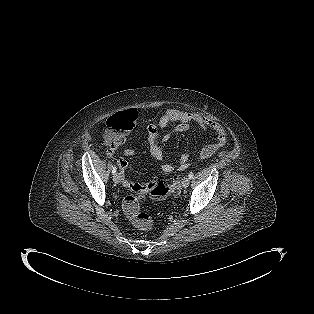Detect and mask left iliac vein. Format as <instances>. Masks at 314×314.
Segmentation results:
<instances>
[{"label": "left iliac vein", "instance_id": "4c4485c4", "mask_svg": "<svg viewBox=\"0 0 314 314\" xmlns=\"http://www.w3.org/2000/svg\"><path fill=\"white\" fill-rule=\"evenodd\" d=\"M190 184V179L189 177H185L183 180H182V187L183 188H187Z\"/></svg>", "mask_w": 314, "mask_h": 314}]
</instances>
